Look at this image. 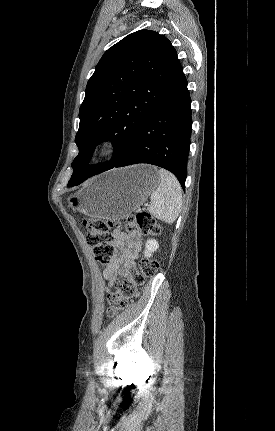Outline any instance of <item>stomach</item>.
<instances>
[{"label":"stomach","mask_w":275,"mask_h":431,"mask_svg":"<svg viewBox=\"0 0 275 431\" xmlns=\"http://www.w3.org/2000/svg\"><path fill=\"white\" fill-rule=\"evenodd\" d=\"M157 168L148 164L113 169L67 198L69 207L92 218L119 220L139 208L158 187Z\"/></svg>","instance_id":"obj_1"}]
</instances>
